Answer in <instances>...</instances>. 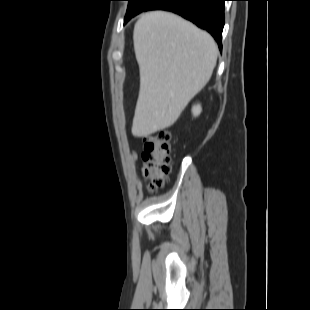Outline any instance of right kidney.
<instances>
[{
	"instance_id": "1",
	"label": "right kidney",
	"mask_w": 310,
	"mask_h": 310,
	"mask_svg": "<svg viewBox=\"0 0 310 310\" xmlns=\"http://www.w3.org/2000/svg\"><path fill=\"white\" fill-rule=\"evenodd\" d=\"M202 109H201V106L200 105H195L193 106L192 108V113L193 115L196 117L198 116L200 113H201Z\"/></svg>"
}]
</instances>
